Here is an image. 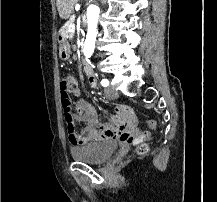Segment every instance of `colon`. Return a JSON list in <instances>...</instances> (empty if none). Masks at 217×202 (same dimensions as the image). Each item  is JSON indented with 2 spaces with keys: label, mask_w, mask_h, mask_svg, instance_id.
<instances>
[{
  "label": "colon",
  "mask_w": 217,
  "mask_h": 202,
  "mask_svg": "<svg viewBox=\"0 0 217 202\" xmlns=\"http://www.w3.org/2000/svg\"><path fill=\"white\" fill-rule=\"evenodd\" d=\"M72 82L69 78H65L62 79L60 81V99H61V106H62V110H63V117H64V122H65V126L68 131H76L75 128V123H74V119H73V112L71 109V97H70V88L72 86ZM147 126H149V128H154L155 126V121L153 120V118H147ZM153 132L150 130L149 132L146 131L144 134L146 136V139L143 141H150V135ZM150 134V135H149ZM147 149V144H143L139 146V150L138 153H143L145 150Z\"/></svg>",
  "instance_id": "1"
}]
</instances>
